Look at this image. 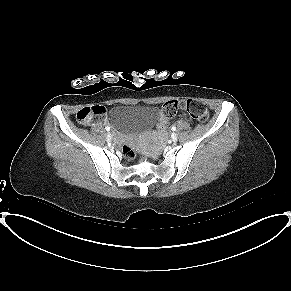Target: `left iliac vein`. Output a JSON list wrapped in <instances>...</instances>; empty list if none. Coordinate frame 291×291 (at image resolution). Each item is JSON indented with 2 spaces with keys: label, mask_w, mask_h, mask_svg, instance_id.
<instances>
[{
  "label": "left iliac vein",
  "mask_w": 291,
  "mask_h": 291,
  "mask_svg": "<svg viewBox=\"0 0 291 291\" xmlns=\"http://www.w3.org/2000/svg\"><path fill=\"white\" fill-rule=\"evenodd\" d=\"M171 140H172L173 142H176V141L178 140V136H177V134L173 133L172 136H171Z\"/></svg>",
  "instance_id": "obj_1"
}]
</instances>
